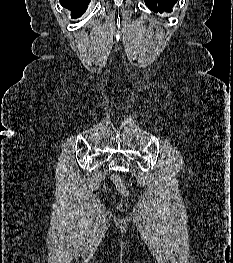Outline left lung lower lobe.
<instances>
[{
    "label": "left lung lower lobe",
    "mask_w": 233,
    "mask_h": 263,
    "mask_svg": "<svg viewBox=\"0 0 233 263\" xmlns=\"http://www.w3.org/2000/svg\"><path fill=\"white\" fill-rule=\"evenodd\" d=\"M147 7L153 12L163 13V11L171 12L172 7L177 0H144Z\"/></svg>",
    "instance_id": "left-lung-lower-lobe-1"
}]
</instances>
